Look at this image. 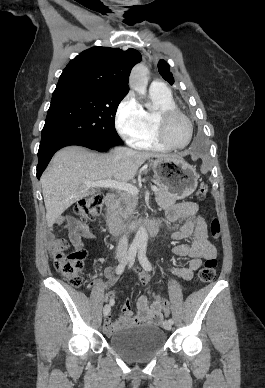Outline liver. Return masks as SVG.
<instances>
[{"label":"liver","instance_id":"obj_1","mask_svg":"<svg viewBox=\"0 0 265 388\" xmlns=\"http://www.w3.org/2000/svg\"><path fill=\"white\" fill-rule=\"evenodd\" d=\"M181 156L136 152L128 148H116L110 154H90L81 146H68L59 150L41 176L48 228H52L72 204L97 192L94 188H84L83 180L99 182L113 178L115 182H128L133 180L138 168L149 158Z\"/></svg>","mask_w":265,"mask_h":388}]
</instances>
